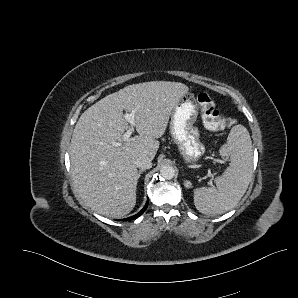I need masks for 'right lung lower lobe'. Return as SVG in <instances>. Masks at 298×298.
<instances>
[{
  "label": "right lung lower lobe",
  "instance_id": "98d812e1",
  "mask_svg": "<svg viewBox=\"0 0 298 298\" xmlns=\"http://www.w3.org/2000/svg\"><path fill=\"white\" fill-rule=\"evenodd\" d=\"M148 201H149V199L147 200V203L145 204V206L143 207V209L138 214H136V215H134L132 217H129L126 220L135 219V218L139 217L140 215H142L145 212V210L147 209V207H148Z\"/></svg>",
  "mask_w": 298,
  "mask_h": 298
}]
</instances>
